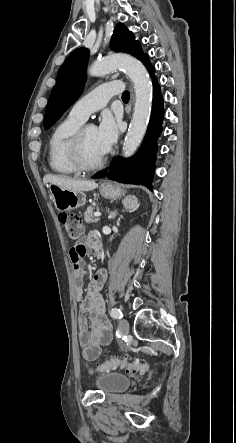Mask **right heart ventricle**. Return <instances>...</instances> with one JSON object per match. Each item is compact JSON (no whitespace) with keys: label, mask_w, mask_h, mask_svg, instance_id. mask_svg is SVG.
<instances>
[{"label":"right heart ventricle","mask_w":236,"mask_h":443,"mask_svg":"<svg viewBox=\"0 0 236 443\" xmlns=\"http://www.w3.org/2000/svg\"><path fill=\"white\" fill-rule=\"evenodd\" d=\"M83 122L68 115L53 130L48 143V163L54 172L63 175H71L78 172L69 160L68 143Z\"/></svg>","instance_id":"1"}]
</instances>
